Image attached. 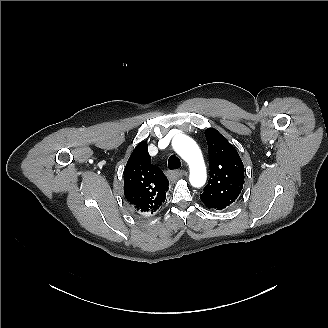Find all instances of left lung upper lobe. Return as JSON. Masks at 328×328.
Returning <instances> with one entry per match:
<instances>
[{
	"instance_id": "1",
	"label": "left lung upper lobe",
	"mask_w": 328,
	"mask_h": 328,
	"mask_svg": "<svg viewBox=\"0 0 328 328\" xmlns=\"http://www.w3.org/2000/svg\"><path fill=\"white\" fill-rule=\"evenodd\" d=\"M210 179L200 195L210 209L222 210L235 202L244 183V166L236 149L216 129L205 131Z\"/></svg>"
}]
</instances>
